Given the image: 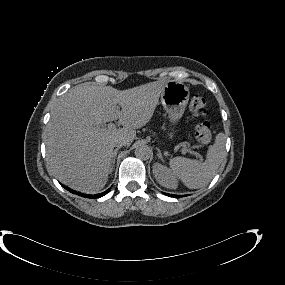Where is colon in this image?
<instances>
[{
	"mask_svg": "<svg viewBox=\"0 0 285 285\" xmlns=\"http://www.w3.org/2000/svg\"><path fill=\"white\" fill-rule=\"evenodd\" d=\"M189 109L195 118H204L207 113L205 98L199 94L193 95L190 99ZM196 138L202 145H208L211 142L212 130L208 121L201 120L197 124Z\"/></svg>",
	"mask_w": 285,
	"mask_h": 285,
	"instance_id": "obj_1",
	"label": "colon"
}]
</instances>
